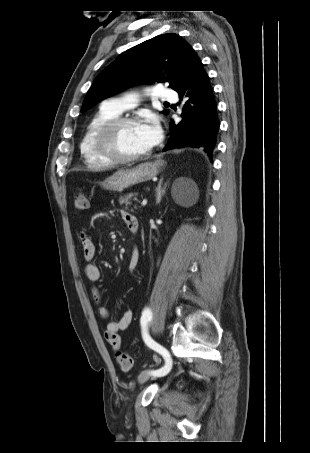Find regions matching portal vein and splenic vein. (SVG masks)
I'll return each mask as SVG.
<instances>
[{
	"mask_svg": "<svg viewBox=\"0 0 310 453\" xmlns=\"http://www.w3.org/2000/svg\"><path fill=\"white\" fill-rule=\"evenodd\" d=\"M141 204H142V206H146V204H147V200H146V199H143V201H142V203H141Z\"/></svg>",
	"mask_w": 310,
	"mask_h": 453,
	"instance_id": "1",
	"label": "portal vein and splenic vein"
}]
</instances>
